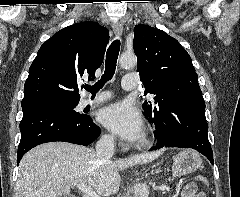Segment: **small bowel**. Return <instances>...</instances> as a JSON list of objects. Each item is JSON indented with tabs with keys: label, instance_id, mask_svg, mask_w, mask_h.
Instances as JSON below:
<instances>
[{
	"label": "small bowel",
	"instance_id": "small-bowel-1",
	"mask_svg": "<svg viewBox=\"0 0 240 197\" xmlns=\"http://www.w3.org/2000/svg\"><path fill=\"white\" fill-rule=\"evenodd\" d=\"M181 197H206L204 193L197 192V187L194 183L187 184L184 188Z\"/></svg>",
	"mask_w": 240,
	"mask_h": 197
}]
</instances>
